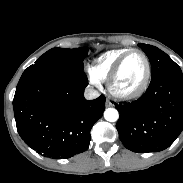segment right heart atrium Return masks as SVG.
Wrapping results in <instances>:
<instances>
[{
  "label": "right heart atrium",
  "mask_w": 183,
  "mask_h": 183,
  "mask_svg": "<svg viewBox=\"0 0 183 183\" xmlns=\"http://www.w3.org/2000/svg\"><path fill=\"white\" fill-rule=\"evenodd\" d=\"M90 77H91V80L93 81V82H96L97 81V79L90 73Z\"/></svg>",
  "instance_id": "1"
}]
</instances>
